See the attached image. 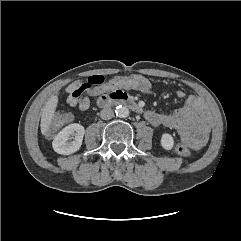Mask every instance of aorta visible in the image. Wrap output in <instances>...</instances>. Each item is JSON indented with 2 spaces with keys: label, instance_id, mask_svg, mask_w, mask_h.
Returning <instances> with one entry per match:
<instances>
[{
  "label": "aorta",
  "instance_id": "762f6f07",
  "mask_svg": "<svg viewBox=\"0 0 241 241\" xmlns=\"http://www.w3.org/2000/svg\"><path fill=\"white\" fill-rule=\"evenodd\" d=\"M115 113L120 118H126L129 116V109L126 106L119 105L116 107Z\"/></svg>",
  "mask_w": 241,
  "mask_h": 241
}]
</instances>
